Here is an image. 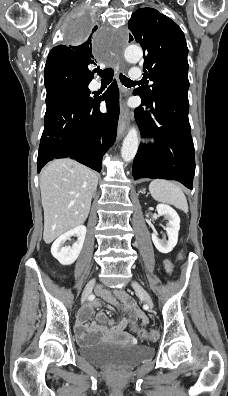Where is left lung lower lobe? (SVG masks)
<instances>
[{
    "mask_svg": "<svg viewBox=\"0 0 228 396\" xmlns=\"http://www.w3.org/2000/svg\"><path fill=\"white\" fill-rule=\"evenodd\" d=\"M135 109V119L142 134L155 139L154 144L140 145L133 162V177L167 179L193 187L195 174L194 145L188 119V91L165 90L152 102L142 99Z\"/></svg>",
    "mask_w": 228,
    "mask_h": 396,
    "instance_id": "left-lung-lower-lobe-1",
    "label": "left lung lower lobe"
}]
</instances>
